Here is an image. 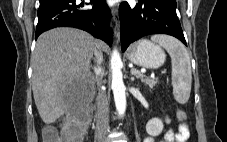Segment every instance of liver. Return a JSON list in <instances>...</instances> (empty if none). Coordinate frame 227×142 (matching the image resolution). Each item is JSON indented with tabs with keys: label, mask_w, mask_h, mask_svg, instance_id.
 <instances>
[{
	"label": "liver",
	"mask_w": 227,
	"mask_h": 142,
	"mask_svg": "<svg viewBox=\"0 0 227 142\" xmlns=\"http://www.w3.org/2000/svg\"><path fill=\"white\" fill-rule=\"evenodd\" d=\"M96 47L107 45L89 33L60 27L41 34L32 54V91L39 115L45 124L55 122L71 108L80 86L92 87L90 62Z\"/></svg>",
	"instance_id": "obj_1"
}]
</instances>
